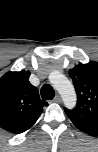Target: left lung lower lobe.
<instances>
[{
	"label": "left lung lower lobe",
	"mask_w": 98,
	"mask_h": 152,
	"mask_svg": "<svg viewBox=\"0 0 98 152\" xmlns=\"http://www.w3.org/2000/svg\"><path fill=\"white\" fill-rule=\"evenodd\" d=\"M79 130L91 135V136H98V129L85 127V126H76Z\"/></svg>",
	"instance_id": "0a47b994"
}]
</instances>
